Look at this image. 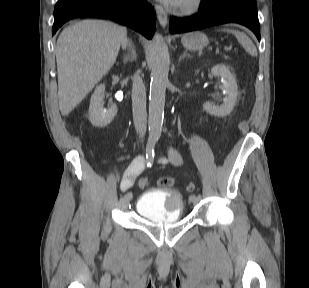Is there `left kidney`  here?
<instances>
[{
    "mask_svg": "<svg viewBox=\"0 0 309 288\" xmlns=\"http://www.w3.org/2000/svg\"><path fill=\"white\" fill-rule=\"evenodd\" d=\"M211 73L214 76H220L223 78V84L221 85V90L225 94L224 103L220 106L212 105L209 102L204 103L203 107L209 114L225 117L230 114L233 110L237 96L238 87L234 76L232 75L230 69L223 64L215 65Z\"/></svg>",
    "mask_w": 309,
    "mask_h": 288,
    "instance_id": "obj_1",
    "label": "left kidney"
}]
</instances>
